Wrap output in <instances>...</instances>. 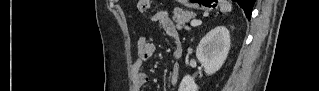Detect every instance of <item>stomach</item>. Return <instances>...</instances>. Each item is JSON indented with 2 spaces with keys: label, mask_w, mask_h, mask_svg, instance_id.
<instances>
[{
  "label": "stomach",
  "mask_w": 319,
  "mask_h": 91,
  "mask_svg": "<svg viewBox=\"0 0 319 91\" xmlns=\"http://www.w3.org/2000/svg\"><path fill=\"white\" fill-rule=\"evenodd\" d=\"M190 8H201V9H210L213 8L215 2L212 0H205V1H189L186 3Z\"/></svg>",
  "instance_id": "obj_1"
}]
</instances>
